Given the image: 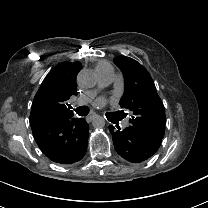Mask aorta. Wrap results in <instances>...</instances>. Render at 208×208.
<instances>
[{
    "mask_svg": "<svg viewBox=\"0 0 208 208\" xmlns=\"http://www.w3.org/2000/svg\"><path fill=\"white\" fill-rule=\"evenodd\" d=\"M92 125L97 128L105 126V119L100 115H94L92 120Z\"/></svg>",
    "mask_w": 208,
    "mask_h": 208,
    "instance_id": "obj_1",
    "label": "aorta"
}]
</instances>
